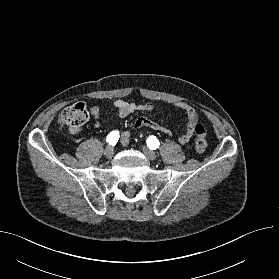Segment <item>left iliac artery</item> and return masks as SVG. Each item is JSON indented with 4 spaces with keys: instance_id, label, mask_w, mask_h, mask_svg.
I'll return each instance as SVG.
<instances>
[{
    "instance_id": "obj_1",
    "label": "left iliac artery",
    "mask_w": 279,
    "mask_h": 279,
    "mask_svg": "<svg viewBox=\"0 0 279 279\" xmlns=\"http://www.w3.org/2000/svg\"><path fill=\"white\" fill-rule=\"evenodd\" d=\"M147 146L150 148V149H157L160 145V142L159 140L155 137V136H150L148 139H147Z\"/></svg>"
}]
</instances>
